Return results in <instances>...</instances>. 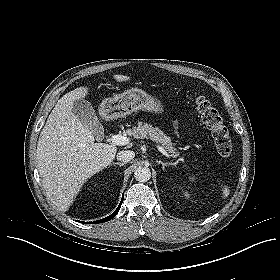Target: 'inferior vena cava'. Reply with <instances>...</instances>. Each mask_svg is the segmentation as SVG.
<instances>
[{"label":"inferior vena cava","instance_id":"602c4592","mask_svg":"<svg viewBox=\"0 0 280 280\" xmlns=\"http://www.w3.org/2000/svg\"><path fill=\"white\" fill-rule=\"evenodd\" d=\"M135 157V153L131 150L120 151L117 153V159L123 163L131 161Z\"/></svg>","mask_w":280,"mask_h":280}]
</instances>
